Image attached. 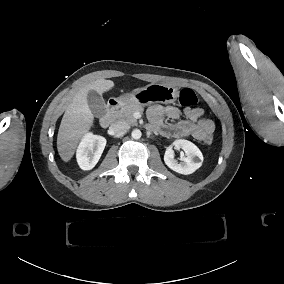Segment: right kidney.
<instances>
[{"label": "right kidney", "mask_w": 284, "mask_h": 284, "mask_svg": "<svg viewBox=\"0 0 284 284\" xmlns=\"http://www.w3.org/2000/svg\"><path fill=\"white\" fill-rule=\"evenodd\" d=\"M105 146L104 137L86 133L77 148L76 159L79 167L82 170H91L99 161Z\"/></svg>", "instance_id": "obj_1"}]
</instances>
